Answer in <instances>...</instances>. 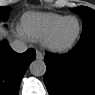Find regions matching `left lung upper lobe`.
<instances>
[{"label": "left lung upper lobe", "instance_id": "obj_1", "mask_svg": "<svg viewBox=\"0 0 95 95\" xmlns=\"http://www.w3.org/2000/svg\"><path fill=\"white\" fill-rule=\"evenodd\" d=\"M77 13L83 20L81 37L95 33V11L86 6H79Z\"/></svg>", "mask_w": 95, "mask_h": 95}]
</instances>
